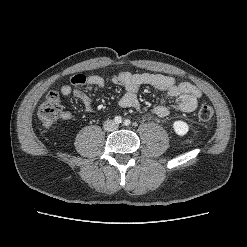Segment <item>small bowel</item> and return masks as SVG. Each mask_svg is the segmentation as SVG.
I'll return each mask as SVG.
<instances>
[{
	"label": "small bowel",
	"instance_id": "obj_1",
	"mask_svg": "<svg viewBox=\"0 0 247 247\" xmlns=\"http://www.w3.org/2000/svg\"><path fill=\"white\" fill-rule=\"evenodd\" d=\"M110 81L124 88V94L119 99V106L123 108H140L137 92L142 86H151L166 94L169 98H175L174 109L177 112L190 113L194 111L202 96L201 91L189 82L177 83L171 76L152 73H131L117 72L109 77ZM106 79L101 75L77 74L71 77L70 85H63L60 92L63 96L73 95L81 100L88 111L94 109L93 100L81 90L82 87L93 89L104 88ZM153 113L161 118L167 117L171 109L167 104L156 105ZM62 120H71L73 114L70 111L62 110L59 116Z\"/></svg>",
	"mask_w": 247,
	"mask_h": 247
}]
</instances>
